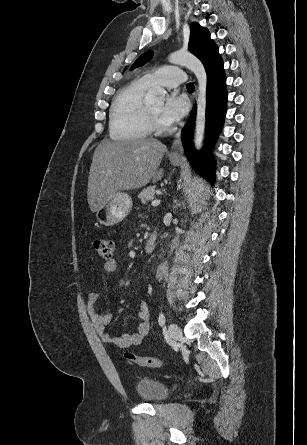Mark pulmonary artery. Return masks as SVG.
<instances>
[{"instance_id": "e3ab8cb5", "label": "pulmonary artery", "mask_w": 307, "mask_h": 445, "mask_svg": "<svg viewBox=\"0 0 307 445\" xmlns=\"http://www.w3.org/2000/svg\"><path fill=\"white\" fill-rule=\"evenodd\" d=\"M149 84H163L169 87H175L179 84H188L190 77L186 71L179 67H164L158 70L152 69L145 74Z\"/></svg>"}]
</instances>
